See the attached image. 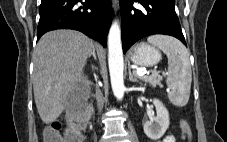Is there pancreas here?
<instances>
[{"label":"pancreas","instance_id":"obj_1","mask_svg":"<svg viewBox=\"0 0 227 142\" xmlns=\"http://www.w3.org/2000/svg\"><path fill=\"white\" fill-rule=\"evenodd\" d=\"M140 78L142 81L150 84L153 87L161 86L162 77L158 74H152L151 76H142Z\"/></svg>","mask_w":227,"mask_h":142}]
</instances>
